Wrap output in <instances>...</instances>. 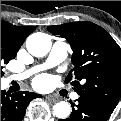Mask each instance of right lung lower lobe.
Here are the masks:
<instances>
[{"mask_svg":"<svg viewBox=\"0 0 121 121\" xmlns=\"http://www.w3.org/2000/svg\"><path fill=\"white\" fill-rule=\"evenodd\" d=\"M41 95L32 92L8 94L1 91V121H22L28 104Z\"/></svg>","mask_w":121,"mask_h":121,"instance_id":"1","label":"right lung lower lobe"}]
</instances>
